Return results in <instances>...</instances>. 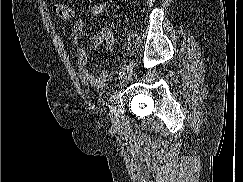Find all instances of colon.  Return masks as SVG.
<instances>
[{
	"label": "colon",
	"instance_id": "obj_1",
	"mask_svg": "<svg viewBox=\"0 0 243 182\" xmlns=\"http://www.w3.org/2000/svg\"><path fill=\"white\" fill-rule=\"evenodd\" d=\"M53 10H54L55 14L63 20H69L73 16L72 7L66 3L55 4L53 6Z\"/></svg>",
	"mask_w": 243,
	"mask_h": 182
}]
</instances>
